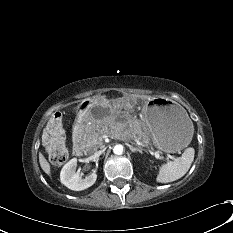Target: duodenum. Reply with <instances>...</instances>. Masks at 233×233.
I'll return each mask as SVG.
<instances>
[{
  "label": "duodenum",
  "instance_id": "1",
  "mask_svg": "<svg viewBox=\"0 0 233 233\" xmlns=\"http://www.w3.org/2000/svg\"><path fill=\"white\" fill-rule=\"evenodd\" d=\"M86 107L88 109H91L93 107V103L91 101H88L86 103ZM79 131H80L79 127H77L74 132V143H73V151L75 154H78V155L81 154L83 151V145L77 140V135Z\"/></svg>",
  "mask_w": 233,
  "mask_h": 233
}]
</instances>
